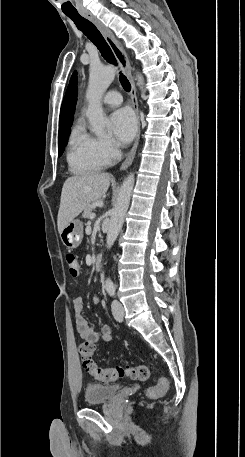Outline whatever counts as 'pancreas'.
Returning a JSON list of instances; mask_svg holds the SVG:
<instances>
[{
    "label": "pancreas",
    "instance_id": "pancreas-1",
    "mask_svg": "<svg viewBox=\"0 0 245 457\" xmlns=\"http://www.w3.org/2000/svg\"><path fill=\"white\" fill-rule=\"evenodd\" d=\"M92 210H94V206H92V204H87L84 208V212H82L83 218H90L91 214H93Z\"/></svg>",
    "mask_w": 245,
    "mask_h": 457
}]
</instances>
